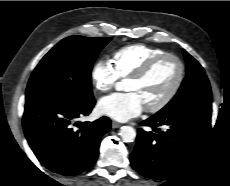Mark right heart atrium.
I'll list each match as a JSON object with an SVG mask.
<instances>
[{
  "label": "right heart atrium",
  "mask_w": 230,
  "mask_h": 186,
  "mask_svg": "<svg viewBox=\"0 0 230 186\" xmlns=\"http://www.w3.org/2000/svg\"><path fill=\"white\" fill-rule=\"evenodd\" d=\"M90 77L95 90L100 93L110 91L119 79L112 64L104 59L95 62Z\"/></svg>",
  "instance_id": "obj_1"
}]
</instances>
